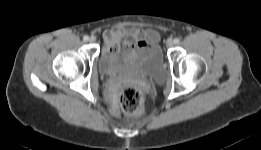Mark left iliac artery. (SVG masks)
<instances>
[{
	"mask_svg": "<svg viewBox=\"0 0 261 150\" xmlns=\"http://www.w3.org/2000/svg\"><path fill=\"white\" fill-rule=\"evenodd\" d=\"M179 41H180V40H179L178 38H175V39H174V43H175V44H178Z\"/></svg>",
	"mask_w": 261,
	"mask_h": 150,
	"instance_id": "obj_1",
	"label": "left iliac artery"
}]
</instances>
